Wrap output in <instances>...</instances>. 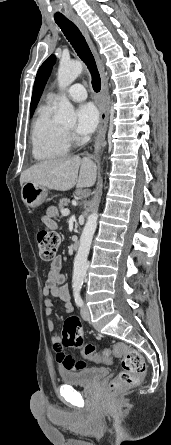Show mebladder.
Wrapping results in <instances>:
<instances>
[{"label": "bladder", "mask_w": 171, "mask_h": 445, "mask_svg": "<svg viewBox=\"0 0 171 445\" xmlns=\"http://www.w3.org/2000/svg\"><path fill=\"white\" fill-rule=\"evenodd\" d=\"M108 375V369L98 367H86L74 371H62L61 380L67 385L90 386Z\"/></svg>", "instance_id": "1"}]
</instances>
